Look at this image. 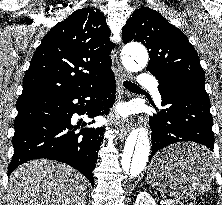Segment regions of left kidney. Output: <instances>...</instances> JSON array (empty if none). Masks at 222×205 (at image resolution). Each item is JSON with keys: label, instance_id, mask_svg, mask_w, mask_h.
I'll return each mask as SVG.
<instances>
[{"label": "left kidney", "instance_id": "5707ae66", "mask_svg": "<svg viewBox=\"0 0 222 205\" xmlns=\"http://www.w3.org/2000/svg\"><path fill=\"white\" fill-rule=\"evenodd\" d=\"M134 205H156V203L147 192H140Z\"/></svg>", "mask_w": 222, "mask_h": 205}]
</instances>
